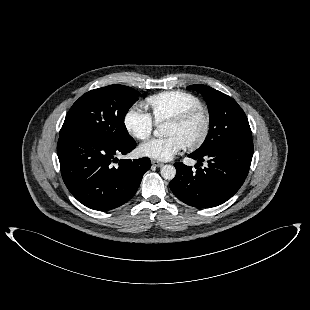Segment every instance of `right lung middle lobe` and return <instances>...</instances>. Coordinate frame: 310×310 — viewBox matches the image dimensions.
<instances>
[{"mask_svg": "<svg viewBox=\"0 0 310 310\" xmlns=\"http://www.w3.org/2000/svg\"><path fill=\"white\" fill-rule=\"evenodd\" d=\"M139 95L138 91L123 85H110L85 93L67 113L60 137L81 135L114 143L132 139L124 118Z\"/></svg>", "mask_w": 310, "mask_h": 310, "instance_id": "obj_1", "label": "right lung middle lobe"}]
</instances>
